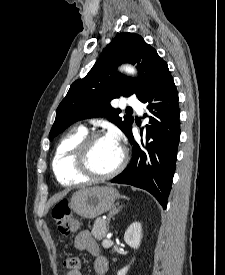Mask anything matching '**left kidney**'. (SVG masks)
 <instances>
[{
  "label": "left kidney",
  "mask_w": 225,
  "mask_h": 275,
  "mask_svg": "<svg viewBox=\"0 0 225 275\" xmlns=\"http://www.w3.org/2000/svg\"><path fill=\"white\" fill-rule=\"evenodd\" d=\"M142 239V226L140 223L135 222L131 224L124 234V241L127 245L134 249H138ZM129 266L119 270L117 275H126Z\"/></svg>",
  "instance_id": "5707ae66"
}]
</instances>
